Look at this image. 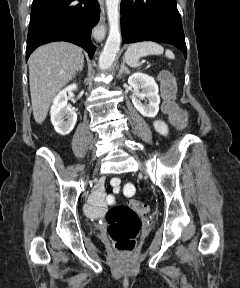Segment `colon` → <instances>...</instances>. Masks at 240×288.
<instances>
[{
	"label": "colon",
	"instance_id": "1",
	"mask_svg": "<svg viewBox=\"0 0 240 288\" xmlns=\"http://www.w3.org/2000/svg\"><path fill=\"white\" fill-rule=\"evenodd\" d=\"M162 94L165 99L163 110L175 125L184 127L187 115L175 102L176 86L169 73L162 76ZM149 214L150 207L139 200H132L125 206H115L107 212V232L118 251L130 253L134 250L141 229V217Z\"/></svg>",
	"mask_w": 240,
	"mask_h": 288
}]
</instances>
